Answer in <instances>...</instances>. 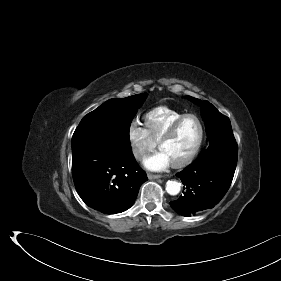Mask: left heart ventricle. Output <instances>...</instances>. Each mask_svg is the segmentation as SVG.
<instances>
[{
  "instance_id": "1",
  "label": "left heart ventricle",
  "mask_w": 281,
  "mask_h": 281,
  "mask_svg": "<svg viewBox=\"0 0 281 281\" xmlns=\"http://www.w3.org/2000/svg\"><path fill=\"white\" fill-rule=\"evenodd\" d=\"M200 134L199 124L195 118L185 119L174 136L161 148L170 161L176 162L187 156L195 147Z\"/></svg>"
}]
</instances>
